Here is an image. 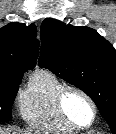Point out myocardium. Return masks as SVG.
Returning a JSON list of instances; mask_svg holds the SVG:
<instances>
[{
    "label": "myocardium",
    "instance_id": "1",
    "mask_svg": "<svg viewBox=\"0 0 116 134\" xmlns=\"http://www.w3.org/2000/svg\"><path fill=\"white\" fill-rule=\"evenodd\" d=\"M69 92H75L78 93L79 95H81L83 98H85V100L89 103L91 109H92V120L88 125H81L79 123H77L76 121H74L69 114L66 111L65 108V99L66 96ZM56 107H57V111L60 115V117L71 127L75 128V129H88L90 127H92L98 117V109H97V105L94 102L93 98L82 88L77 87L75 85H64L57 93L56 95Z\"/></svg>",
    "mask_w": 116,
    "mask_h": 134
}]
</instances>
